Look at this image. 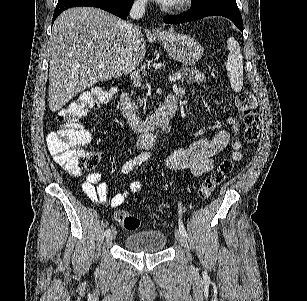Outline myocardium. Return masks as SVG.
Listing matches in <instances>:
<instances>
[{
    "label": "myocardium",
    "mask_w": 307,
    "mask_h": 301,
    "mask_svg": "<svg viewBox=\"0 0 307 301\" xmlns=\"http://www.w3.org/2000/svg\"><path fill=\"white\" fill-rule=\"evenodd\" d=\"M189 2V0H175L173 1V3L171 4H168V6L170 8H173V7H180V6H184L185 4H187Z\"/></svg>",
    "instance_id": "f54148a6"
}]
</instances>
